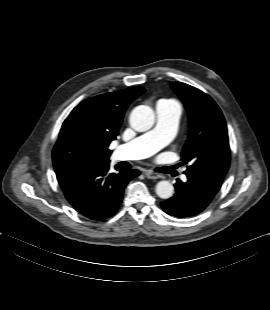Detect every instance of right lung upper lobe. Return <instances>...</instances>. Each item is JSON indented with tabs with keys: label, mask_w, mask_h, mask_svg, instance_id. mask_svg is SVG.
I'll return each instance as SVG.
<instances>
[{
	"label": "right lung upper lobe",
	"mask_w": 270,
	"mask_h": 310,
	"mask_svg": "<svg viewBox=\"0 0 270 310\" xmlns=\"http://www.w3.org/2000/svg\"><path fill=\"white\" fill-rule=\"evenodd\" d=\"M143 87L107 93L84 100L63 122L53 148L55 172L109 164V144L116 139L128 105Z\"/></svg>",
	"instance_id": "right-lung-upper-lobe-1"
}]
</instances>
